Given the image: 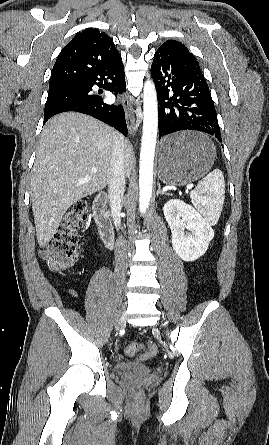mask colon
<instances>
[{
	"label": "colon",
	"mask_w": 269,
	"mask_h": 445,
	"mask_svg": "<svg viewBox=\"0 0 269 445\" xmlns=\"http://www.w3.org/2000/svg\"><path fill=\"white\" fill-rule=\"evenodd\" d=\"M87 217V202L84 200L75 202L68 209L53 240L40 250L41 258L49 267L54 270H64L76 261L79 253V230ZM140 352L143 359H149L155 356L156 347L152 343L145 346L133 343L126 348V353L130 356Z\"/></svg>",
	"instance_id": "1"
}]
</instances>
